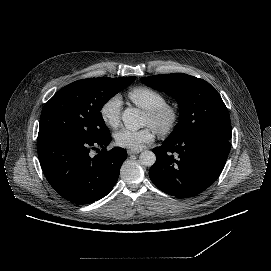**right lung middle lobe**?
Masks as SVG:
<instances>
[{
    "label": "right lung middle lobe",
    "instance_id": "dd1d6c3e",
    "mask_svg": "<svg viewBox=\"0 0 271 271\" xmlns=\"http://www.w3.org/2000/svg\"><path fill=\"white\" fill-rule=\"evenodd\" d=\"M136 77L90 78L59 90L44 106L38 137L69 134L96 140L109 133L103 120V105Z\"/></svg>",
    "mask_w": 271,
    "mask_h": 271
}]
</instances>
